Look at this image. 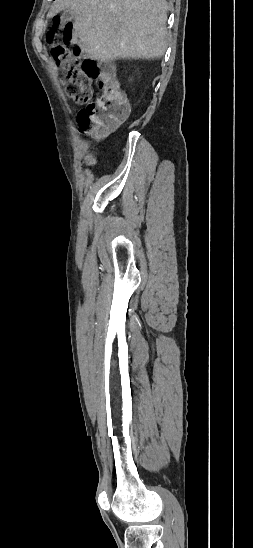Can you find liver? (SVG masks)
<instances>
[{
    "label": "liver",
    "mask_w": 253,
    "mask_h": 548,
    "mask_svg": "<svg viewBox=\"0 0 253 548\" xmlns=\"http://www.w3.org/2000/svg\"><path fill=\"white\" fill-rule=\"evenodd\" d=\"M63 10L72 12L74 42L91 58L154 59L166 51L165 0H55L49 15Z\"/></svg>",
    "instance_id": "1"
}]
</instances>
